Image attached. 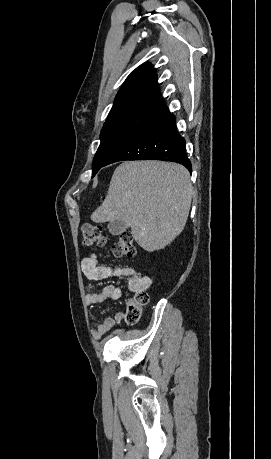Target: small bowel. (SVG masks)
<instances>
[{"label": "small bowel", "mask_w": 271, "mask_h": 459, "mask_svg": "<svg viewBox=\"0 0 271 459\" xmlns=\"http://www.w3.org/2000/svg\"><path fill=\"white\" fill-rule=\"evenodd\" d=\"M84 275L93 281L109 278L127 277V288L131 292H141L150 285V279L141 275L136 270L124 266H100L95 254L85 257L81 263ZM123 290L114 285H107L100 290H92L86 294L85 300L88 305L105 303L110 300H118L122 297ZM124 317L122 311H118L112 316L107 317L101 324L93 330V336L100 338L115 326L119 325Z\"/></svg>", "instance_id": "1"}]
</instances>
